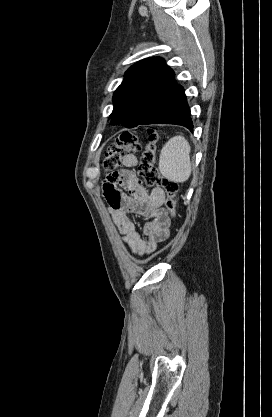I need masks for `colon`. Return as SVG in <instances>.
Masks as SVG:
<instances>
[{"instance_id":"5ec220e1","label":"colon","mask_w":272,"mask_h":417,"mask_svg":"<svg viewBox=\"0 0 272 417\" xmlns=\"http://www.w3.org/2000/svg\"><path fill=\"white\" fill-rule=\"evenodd\" d=\"M149 141L141 156L139 172L147 185H157L165 192L164 205L169 216L173 219L176 210L177 182L161 175L156 167V150L159 142V134L154 129L148 130ZM138 135L132 131L122 132L115 143L106 151L103 167L107 171H115L123 159L140 150Z\"/></svg>"}]
</instances>
